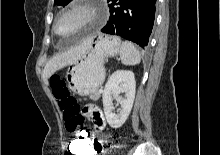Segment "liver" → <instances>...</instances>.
<instances>
[{
    "label": "liver",
    "instance_id": "obj_1",
    "mask_svg": "<svg viewBox=\"0 0 220 155\" xmlns=\"http://www.w3.org/2000/svg\"><path fill=\"white\" fill-rule=\"evenodd\" d=\"M90 44L85 43L83 45L70 48L60 54L54 56L46 65L43 70V80L48 85V79L59 69L72 64L79 60L84 53L89 49Z\"/></svg>",
    "mask_w": 220,
    "mask_h": 155
}]
</instances>
